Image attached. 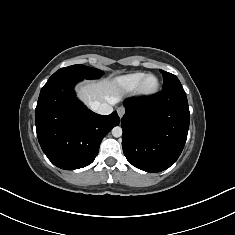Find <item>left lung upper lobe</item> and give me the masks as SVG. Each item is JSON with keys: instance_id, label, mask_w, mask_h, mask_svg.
I'll return each instance as SVG.
<instances>
[{"instance_id": "obj_1", "label": "left lung upper lobe", "mask_w": 235, "mask_h": 235, "mask_svg": "<svg viewBox=\"0 0 235 235\" xmlns=\"http://www.w3.org/2000/svg\"><path fill=\"white\" fill-rule=\"evenodd\" d=\"M160 72L163 75V90L173 89V88H182V85L179 81V79L166 71L160 70Z\"/></svg>"}]
</instances>
